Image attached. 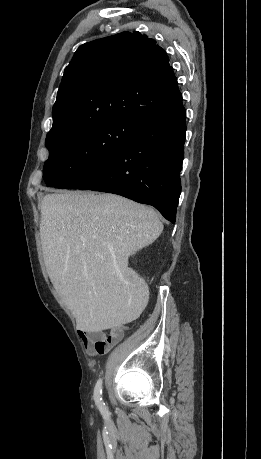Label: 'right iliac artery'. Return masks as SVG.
I'll return each instance as SVG.
<instances>
[{
	"mask_svg": "<svg viewBox=\"0 0 261 459\" xmlns=\"http://www.w3.org/2000/svg\"><path fill=\"white\" fill-rule=\"evenodd\" d=\"M101 395H102V379H99L94 389V400L96 402V405L100 409V411L102 413H106L107 409H106L105 403L102 400Z\"/></svg>",
	"mask_w": 261,
	"mask_h": 459,
	"instance_id": "right-iliac-artery-1",
	"label": "right iliac artery"
}]
</instances>
